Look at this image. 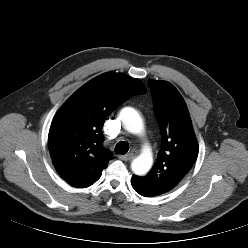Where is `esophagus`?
<instances>
[{"label": "esophagus", "instance_id": "esophagus-1", "mask_svg": "<svg viewBox=\"0 0 248 248\" xmlns=\"http://www.w3.org/2000/svg\"><path fill=\"white\" fill-rule=\"evenodd\" d=\"M134 154L133 153H129V154H126V155H120L119 158L123 161H130L134 158Z\"/></svg>", "mask_w": 248, "mask_h": 248}]
</instances>
